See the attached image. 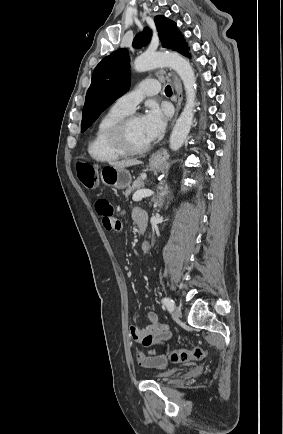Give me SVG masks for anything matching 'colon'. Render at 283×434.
Listing matches in <instances>:
<instances>
[{"instance_id": "1", "label": "colon", "mask_w": 283, "mask_h": 434, "mask_svg": "<svg viewBox=\"0 0 283 434\" xmlns=\"http://www.w3.org/2000/svg\"><path fill=\"white\" fill-rule=\"evenodd\" d=\"M77 175L81 183L88 189H94L98 184V177L95 168L89 164L81 163L77 165ZM154 354L153 351L150 352ZM207 356L204 348L196 347L192 350L173 349L168 351V357L175 363H186L193 360H202Z\"/></svg>"}]
</instances>
